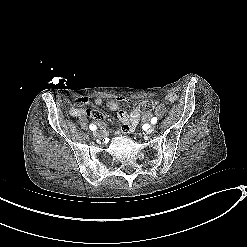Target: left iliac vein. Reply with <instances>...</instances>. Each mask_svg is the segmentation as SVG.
I'll return each instance as SVG.
<instances>
[{"instance_id": "1", "label": "left iliac vein", "mask_w": 247, "mask_h": 247, "mask_svg": "<svg viewBox=\"0 0 247 247\" xmlns=\"http://www.w3.org/2000/svg\"><path fill=\"white\" fill-rule=\"evenodd\" d=\"M154 131V126H150L147 130L146 133L147 134H151Z\"/></svg>"}]
</instances>
